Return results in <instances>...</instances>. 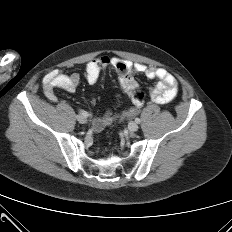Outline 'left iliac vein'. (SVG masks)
<instances>
[{
	"instance_id": "left-iliac-vein-1",
	"label": "left iliac vein",
	"mask_w": 232,
	"mask_h": 232,
	"mask_svg": "<svg viewBox=\"0 0 232 232\" xmlns=\"http://www.w3.org/2000/svg\"><path fill=\"white\" fill-rule=\"evenodd\" d=\"M128 128H129L130 131L135 132V131L138 130L139 126H138V124L136 122H130L129 125H128Z\"/></svg>"
}]
</instances>
